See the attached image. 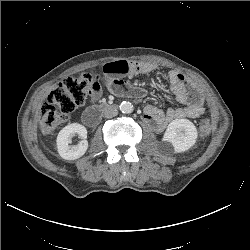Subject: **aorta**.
<instances>
[{
    "mask_svg": "<svg viewBox=\"0 0 250 250\" xmlns=\"http://www.w3.org/2000/svg\"><path fill=\"white\" fill-rule=\"evenodd\" d=\"M120 111L125 114H129L133 112V105L131 102L123 101L120 106Z\"/></svg>",
    "mask_w": 250,
    "mask_h": 250,
    "instance_id": "obj_1",
    "label": "aorta"
}]
</instances>
